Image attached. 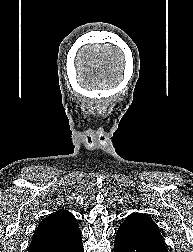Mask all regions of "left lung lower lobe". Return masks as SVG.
Instances as JSON below:
<instances>
[{
    "label": "left lung lower lobe",
    "mask_w": 193,
    "mask_h": 252,
    "mask_svg": "<svg viewBox=\"0 0 193 252\" xmlns=\"http://www.w3.org/2000/svg\"><path fill=\"white\" fill-rule=\"evenodd\" d=\"M114 252H168V250L159 231L119 227Z\"/></svg>",
    "instance_id": "obj_1"
}]
</instances>
